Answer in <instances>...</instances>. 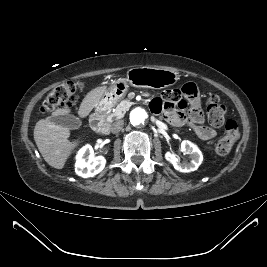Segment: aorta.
I'll list each match as a JSON object with an SVG mask.
<instances>
[{
    "label": "aorta",
    "instance_id": "762f6f07",
    "mask_svg": "<svg viewBox=\"0 0 267 267\" xmlns=\"http://www.w3.org/2000/svg\"><path fill=\"white\" fill-rule=\"evenodd\" d=\"M147 112L142 108H135L130 113V122L135 126H141L147 122Z\"/></svg>",
    "mask_w": 267,
    "mask_h": 267
}]
</instances>
